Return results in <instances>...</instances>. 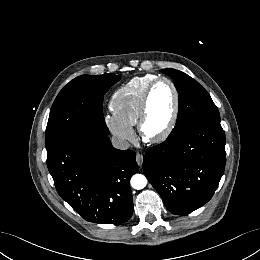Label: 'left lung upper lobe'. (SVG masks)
Segmentation results:
<instances>
[{"mask_svg":"<svg viewBox=\"0 0 260 260\" xmlns=\"http://www.w3.org/2000/svg\"><path fill=\"white\" fill-rule=\"evenodd\" d=\"M162 73L171 76L179 93L178 118L171 134L202 116L219 115V111L208 92L187 74L175 69H162Z\"/></svg>","mask_w":260,"mask_h":260,"instance_id":"obj_1","label":"left lung upper lobe"}]
</instances>
